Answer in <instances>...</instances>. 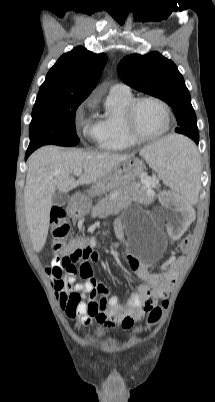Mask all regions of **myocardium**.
<instances>
[{
    "label": "myocardium",
    "instance_id": "obj_1",
    "mask_svg": "<svg viewBox=\"0 0 215 402\" xmlns=\"http://www.w3.org/2000/svg\"><path fill=\"white\" fill-rule=\"evenodd\" d=\"M145 101L157 103L164 110L166 115V127L160 133L155 135H144L138 131L136 126V112L139 105ZM172 125V112L169 105L162 99L155 96H141L134 98L127 105L124 111V127L128 136L136 142H149L158 140L167 135Z\"/></svg>",
    "mask_w": 215,
    "mask_h": 402
}]
</instances>
